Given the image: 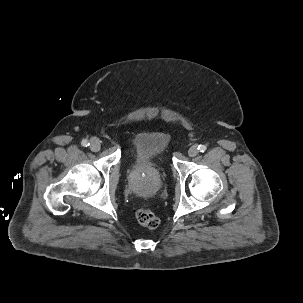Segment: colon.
<instances>
[{"instance_id":"obj_1","label":"colon","mask_w":303,"mask_h":303,"mask_svg":"<svg viewBox=\"0 0 303 303\" xmlns=\"http://www.w3.org/2000/svg\"><path fill=\"white\" fill-rule=\"evenodd\" d=\"M138 223L147 228H156L160 221L157 215L149 209L141 208L136 213Z\"/></svg>"}]
</instances>
